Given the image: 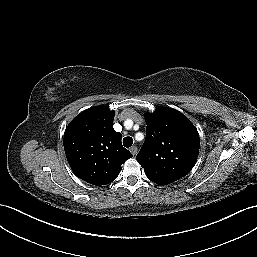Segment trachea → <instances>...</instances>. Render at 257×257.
Masks as SVG:
<instances>
[{
	"label": "trachea",
	"instance_id": "obj_1",
	"mask_svg": "<svg viewBox=\"0 0 257 257\" xmlns=\"http://www.w3.org/2000/svg\"><path fill=\"white\" fill-rule=\"evenodd\" d=\"M132 144H133V139H132V137H125V138L123 139V145H124L125 147L129 148V147L132 146Z\"/></svg>",
	"mask_w": 257,
	"mask_h": 257
}]
</instances>
